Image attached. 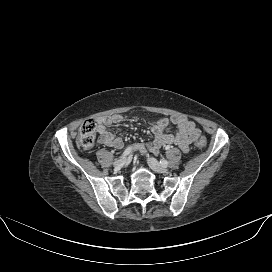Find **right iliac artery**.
Segmentation results:
<instances>
[{
    "label": "right iliac artery",
    "mask_w": 272,
    "mask_h": 272,
    "mask_svg": "<svg viewBox=\"0 0 272 272\" xmlns=\"http://www.w3.org/2000/svg\"><path fill=\"white\" fill-rule=\"evenodd\" d=\"M132 150H133V148H132L131 146L127 147V148L124 150V152H123V154H122L121 157L126 156V155H129V154L132 152Z\"/></svg>",
    "instance_id": "82829eb1"
}]
</instances>
